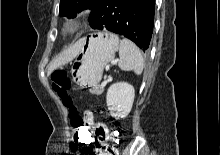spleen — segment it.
<instances>
[{"mask_svg":"<svg viewBox=\"0 0 220 155\" xmlns=\"http://www.w3.org/2000/svg\"><path fill=\"white\" fill-rule=\"evenodd\" d=\"M118 66L124 71H133L140 75L143 71L144 60L138 47L130 40L124 38L120 42Z\"/></svg>","mask_w":220,"mask_h":155,"instance_id":"spleen-1","label":"spleen"}]
</instances>
